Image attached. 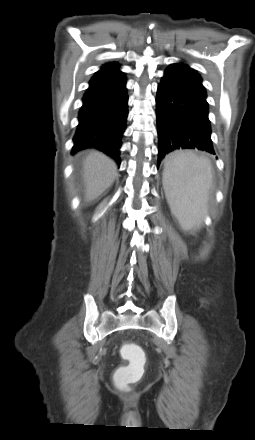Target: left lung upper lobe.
<instances>
[{
	"instance_id": "1",
	"label": "left lung upper lobe",
	"mask_w": 255,
	"mask_h": 440,
	"mask_svg": "<svg viewBox=\"0 0 255 440\" xmlns=\"http://www.w3.org/2000/svg\"><path fill=\"white\" fill-rule=\"evenodd\" d=\"M170 67L180 71L181 73L186 75L192 81L202 85V78H201V76L196 71L191 69L189 67V65H187L185 63H175V64H172Z\"/></svg>"
}]
</instances>
